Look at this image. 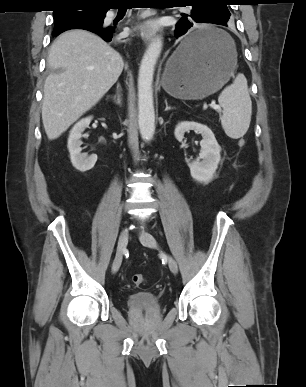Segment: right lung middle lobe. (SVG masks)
Listing matches in <instances>:
<instances>
[{
	"label": "right lung middle lobe",
	"instance_id": "obj_1",
	"mask_svg": "<svg viewBox=\"0 0 306 387\" xmlns=\"http://www.w3.org/2000/svg\"><path fill=\"white\" fill-rule=\"evenodd\" d=\"M106 12L102 8L89 6H86V9L82 11L71 8H60L53 13L55 21L53 32L59 33L76 25L103 23Z\"/></svg>",
	"mask_w": 306,
	"mask_h": 387
}]
</instances>
